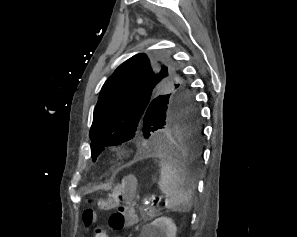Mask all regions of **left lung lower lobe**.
I'll return each mask as SVG.
<instances>
[{
  "label": "left lung lower lobe",
  "mask_w": 297,
  "mask_h": 237,
  "mask_svg": "<svg viewBox=\"0 0 297 237\" xmlns=\"http://www.w3.org/2000/svg\"><path fill=\"white\" fill-rule=\"evenodd\" d=\"M203 135L196 104L180 101L162 118L161 126L145 142L139 156H166L195 169L202 154Z\"/></svg>",
  "instance_id": "1"
}]
</instances>
